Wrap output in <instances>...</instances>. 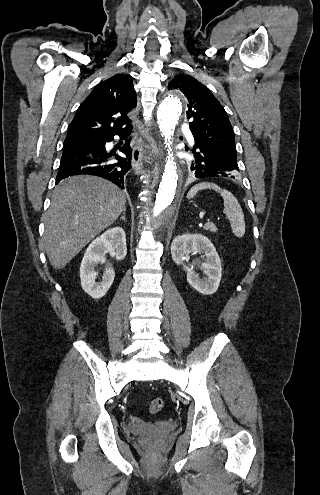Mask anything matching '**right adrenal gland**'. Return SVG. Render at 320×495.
<instances>
[{"instance_id": "obj_1", "label": "right adrenal gland", "mask_w": 320, "mask_h": 495, "mask_svg": "<svg viewBox=\"0 0 320 495\" xmlns=\"http://www.w3.org/2000/svg\"><path fill=\"white\" fill-rule=\"evenodd\" d=\"M125 215H126V211L124 210L123 215L120 217V220L127 221Z\"/></svg>"}]
</instances>
